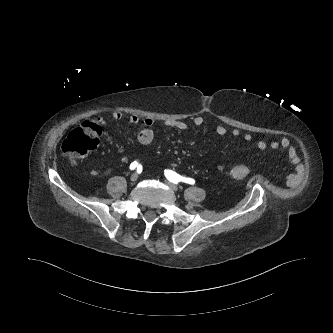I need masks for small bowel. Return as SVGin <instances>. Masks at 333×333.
<instances>
[{
    "instance_id": "obj_1",
    "label": "small bowel",
    "mask_w": 333,
    "mask_h": 333,
    "mask_svg": "<svg viewBox=\"0 0 333 333\" xmlns=\"http://www.w3.org/2000/svg\"><path fill=\"white\" fill-rule=\"evenodd\" d=\"M122 114L120 112H113L111 114V121L112 122H117L121 120ZM130 122L132 124H138L140 122V118L137 115H132L129 118ZM142 123L144 125V128L138 133L137 135V140L141 145H149L152 143L154 139V131H153V126H154V119L151 117H145L142 120ZM204 123V119L202 116L198 115L193 119V124L195 127H201ZM165 125L174 130L182 131L186 130L189 127V124L186 121H174V120H169L166 121ZM215 132L223 136L227 133V128L223 125H216L215 126ZM231 135L233 137H239L241 135V131L237 128H234L230 131ZM243 139L245 141H251L252 140V135L250 133H245L243 135ZM256 145L259 149H265L267 147V143L263 139H258L256 141ZM270 148L276 150L279 148H282L287 155V158L289 162L294 166L295 173L292 174L289 178L290 182H294L297 178V176L301 173L302 171V163L301 159L299 158L296 149L292 145L290 139L288 137H282L279 141H272L269 144ZM90 176L92 177H97L100 175V171L97 169H91L89 171Z\"/></svg>"
}]
</instances>
